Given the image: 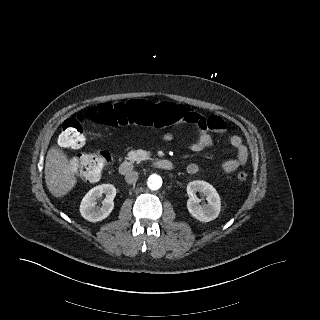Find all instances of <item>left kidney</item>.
<instances>
[{
    "mask_svg": "<svg viewBox=\"0 0 320 320\" xmlns=\"http://www.w3.org/2000/svg\"><path fill=\"white\" fill-rule=\"evenodd\" d=\"M196 192L206 197L207 204H199ZM187 193L189 195L187 209L195 219L210 222L218 217L221 210V199L212 185L205 181H192L187 185Z\"/></svg>",
    "mask_w": 320,
    "mask_h": 320,
    "instance_id": "left-kidney-1",
    "label": "left kidney"
}]
</instances>
